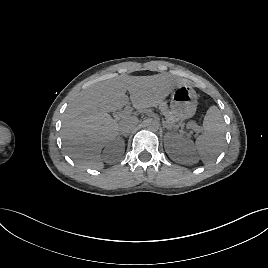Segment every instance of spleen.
<instances>
[{
  "instance_id": "spleen-1",
  "label": "spleen",
  "mask_w": 268,
  "mask_h": 268,
  "mask_svg": "<svg viewBox=\"0 0 268 268\" xmlns=\"http://www.w3.org/2000/svg\"><path fill=\"white\" fill-rule=\"evenodd\" d=\"M203 133L196 141V149L203 163L209 164L219 155L225 141V123L216 106H211L203 120Z\"/></svg>"
}]
</instances>
